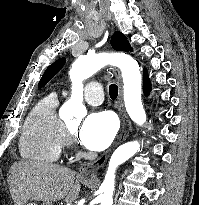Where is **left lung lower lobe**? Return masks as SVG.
<instances>
[{"mask_svg":"<svg viewBox=\"0 0 199 205\" xmlns=\"http://www.w3.org/2000/svg\"><path fill=\"white\" fill-rule=\"evenodd\" d=\"M128 51H132L131 46H129ZM150 90H151V84H150V81H149V77L147 75V71H146V69H144V74H143V91H144V94L148 96L149 93H150Z\"/></svg>","mask_w":199,"mask_h":205,"instance_id":"left-lung-lower-lobe-1","label":"left lung lower lobe"}]
</instances>
